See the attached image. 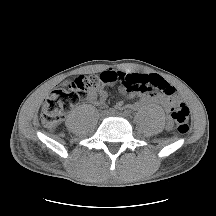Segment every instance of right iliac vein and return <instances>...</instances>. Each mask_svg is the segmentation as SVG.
<instances>
[{
	"label": "right iliac vein",
	"mask_w": 216,
	"mask_h": 216,
	"mask_svg": "<svg viewBox=\"0 0 216 216\" xmlns=\"http://www.w3.org/2000/svg\"><path fill=\"white\" fill-rule=\"evenodd\" d=\"M106 115V112H104L103 114H102V116H105Z\"/></svg>",
	"instance_id": "obj_1"
}]
</instances>
